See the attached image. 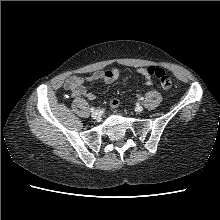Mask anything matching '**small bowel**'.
<instances>
[{"instance_id":"small-bowel-1","label":"small bowel","mask_w":220,"mask_h":220,"mask_svg":"<svg viewBox=\"0 0 220 220\" xmlns=\"http://www.w3.org/2000/svg\"><path fill=\"white\" fill-rule=\"evenodd\" d=\"M138 72L144 78L147 85L152 83V77L148 74L147 68H140ZM118 77L119 71L115 68L104 71H95L86 78L78 75H72L65 80L64 88L70 91L74 97H85L88 100H94L96 95L84 87L85 82L103 80L106 83H112L116 81Z\"/></svg>"}]
</instances>
